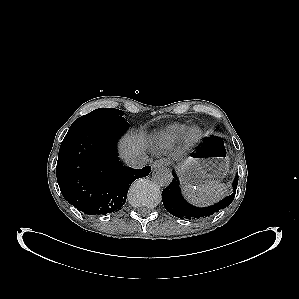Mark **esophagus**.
I'll list each match as a JSON object with an SVG mask.
<instances>
[{
    "label": "esophagus",
    "mask_w": 299,
    "mask_h": 299,
    "mask_svg": "<svg viewBox=\"0 0 299 299\" xmlns=\"http://www.w3.org/2000/svg\"><path fill=\"white\" fill-rule=\"evenodd\" d=\"M168 165H169V161L167 159H159L156 160L152 166L154 168H159V167H167Z\"/></svg>",
    "instance_id": "1"
}]
</instances>
